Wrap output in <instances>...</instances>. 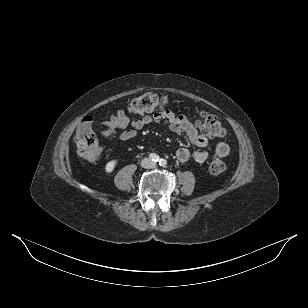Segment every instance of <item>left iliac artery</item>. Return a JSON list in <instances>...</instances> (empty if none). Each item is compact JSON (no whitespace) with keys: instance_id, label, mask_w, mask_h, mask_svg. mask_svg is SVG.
<instances>
[{"instance_id":"1","label":"left iliac artery","mask_w":308,"mask_h":308,"mask_svg":"<svg viewBox=\"0 0 308 308\" xmlns=\"http://www.w3.org/2000/svg\"><path fill=\"white\" fill-rule=\"evenodd\" d=\"M167 164V161L165 159H160L159 165L160 166H165Z\"/></svg>"}]
</instances>
